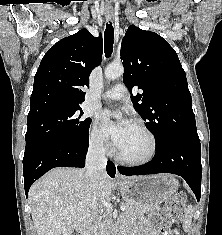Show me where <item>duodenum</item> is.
<instances>
[{
    "mask_svg": "<svg viewBox=\"0 0 222 235\" xmlns=\"http://www.w3.org/2000/svg\"><path fill=\"white\" fill-rule=\"evenodd\" d=\"M87 226L85 223H81L77 229L79 235H86L87 234ZM112 235H121L120 233L118 234H112Z\"/></svg>",
    "mask_w": 222,
    "mask_h": 235,
    "instance_id": "obj_1",
    "label": "duodenum"
}]
</instances>
